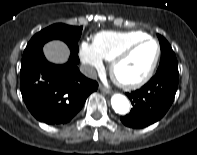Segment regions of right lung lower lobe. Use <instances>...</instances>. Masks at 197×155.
<instances>
[{
  "instance_id": "obj_1",
  "label": "right lung lower lobe",
  "mask_w": 197,
  "mask_h": 155,
  "mask_svg": "<svg viewBox=\"0 0 197 155\" xmlns=\"http://www.w3.org/2000/svg\"><path fill=\"white\" fill-rule=\"evenodd\" d=\"M78 62L77 53L71 52L67 63L55 65L41 51L21 64V94L37 120L51 125L66 124L97 90V82L80 73Z\"/></svg>"
}]
</instances>
